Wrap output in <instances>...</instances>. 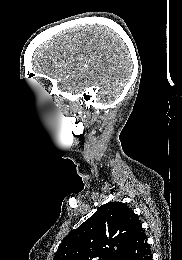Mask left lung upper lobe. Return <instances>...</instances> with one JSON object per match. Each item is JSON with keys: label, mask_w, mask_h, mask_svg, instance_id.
Instances as JSON below:
<instances>
[{"label": "left lung upper lobe", "mask_w": 182, "mask_h": 260, "mask_svg": "<svg viewBox=\"0 0 182 260\" xmlns=\"http://www.w3.org/2000/svg\"><path fill=\"white\" fill-rule=\"evenodd\" d=\"M140 227L126 204L106 203L65 237L53 260H120Z\"/></svg>", "instance_id": "5c2ea615"}]
</instances>
